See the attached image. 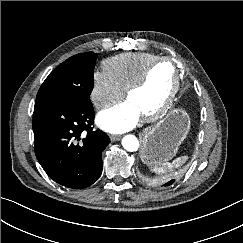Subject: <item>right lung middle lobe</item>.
Segmentation results:
<instances>
[{
    "instance_id": "right-lung-middle-lobe-1",
    "label": "right lung middle lobe",
    "mask_w": 243,
    "mask_h": 243,
    "mask_svg": "<svg viewBox=\"0 0 243 243\" xmlns=\"http://www.w3.org/2000/svg\"><path fill=\"white\" fill-rule=\"evenodd\" d=\"M97 54L86 52L61 63L43 82L36 100H50L72 107L91 104L93 71Z\"/></svg>"
}]
</instances>
